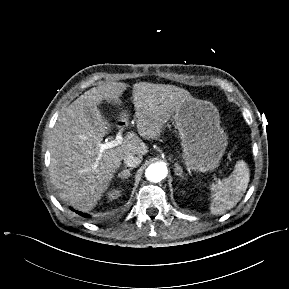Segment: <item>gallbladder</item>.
<instances>
[{"label": "gallbladder", "instance_id": "gallbladder-1", "mask_svg": "<svg viewBox=\"0 0 289 289\" xmlns=\"http://www.w3.org/2000/svg\"><path fill=\"white\" fill-rule=\"evenodd\" d=\"M91 114V119L94 120V115L92 114V112H90Z\"/></svg>", "mask_w": 289, "mask_h": 289}]
</instances>
